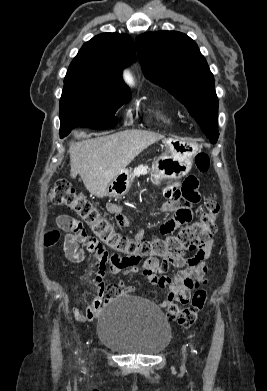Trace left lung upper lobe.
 Wrapping results in <instances>:
<instances>
[{
	"instance_id": "5c2ea615",
	"label": "left lung upper lobe",
	"mask_w": 267,
	"mask_h": 391,
	"mask_svg": "<svg viewBox=\"0 0 267 391\" xmlns=\"http://www.w3.org/2000/svg\"><path fill=\"white\" fill-rule=\"evenodd\" d=\"M145 77L184 104L202 130L218 139V98L214 77L197 44L177 31L148 32L136 38Z\"/></svg>"
}]
</instances>
